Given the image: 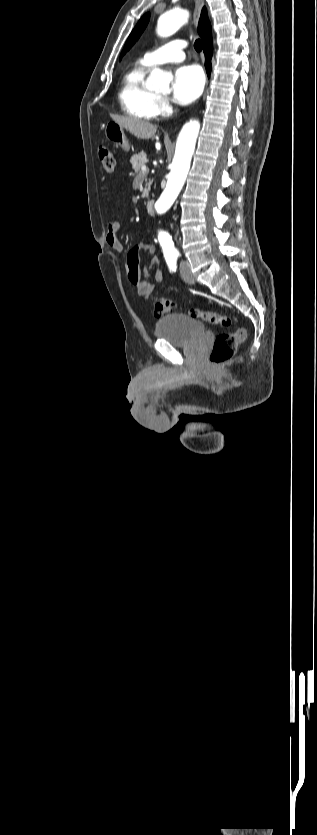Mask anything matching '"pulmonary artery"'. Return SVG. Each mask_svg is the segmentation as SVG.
I'll use <instances>...</instances> for the list:
<instances>
[{
  "mask_svg": "<svg viewBox=\"0 0 317 835\" xmlns=\"http://www.w3.org/2000/svg\"><path fill=\"white\" fill-rule=\"evenodd\" d=\"M186 45V42L183 40H173L153 51L145 53L141 60L148 66H154L165 62H180L185 58L183 49Z\"/></svg>",
  "mask_w": 317,
  "mask_h": 835,
  "instance_id": "1",
  "label": "pulmonary artery"
}]
</instances>
